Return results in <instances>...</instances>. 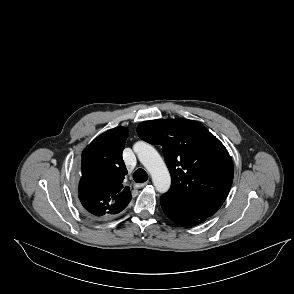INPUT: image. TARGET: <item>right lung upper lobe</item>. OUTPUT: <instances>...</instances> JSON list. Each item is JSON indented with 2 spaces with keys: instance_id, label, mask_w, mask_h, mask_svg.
I'll return each instance as SVG.
<instances>
[{
  "instance_id": "right-lung-upper-lobe-1",
  "label": "right lung upper lobe",
  "mask_w": 294,
  "mask_h": 294,
  "mask_svg": "<svg viewBox=\"0 0 294 294\" xmlns=\"http://www.w3.org/2000/svg\"><path fill=\"white\" fill-rule=\"evenodd\" d=\"M128 129L116 127L93 140L82 153L79 199L93 216L115 215L128 205L131 192L123 186L127 174L122 158Z\"/></svg>"
}]
</instances>
